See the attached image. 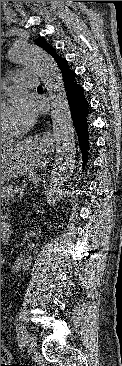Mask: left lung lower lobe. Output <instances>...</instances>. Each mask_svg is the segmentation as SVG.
<instances>
[{
  "mask_svg": "<svg viewBox=\"0 0 122 366\" xmlns=\"http://www.w3.org/2000/svg\"><path fill=\"white\" fill-rule=\"evenodd\" d=\"M56 63L62 76L73 123L78 134L84 168L93 147L91 126L86 119L90 113V104L85 97L84 88L77 82V75L70 69L67 60L59 58Z\"/></svg>",
  "mask_w": 122,
  "mask_h": 366,
  "instance_id": "left-lung-lower-lobe-1",
  "label": "left lung lower lobe"
}]
</instances>
